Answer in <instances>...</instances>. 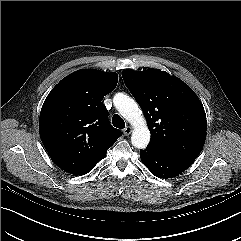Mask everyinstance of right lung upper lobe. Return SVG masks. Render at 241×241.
I'll use <instances>...</instances> for the list:
<instances>
[{"label": "right lung upper lobe", "instance_id": "obj_1", "mask_svg": "<svg viewBox=\"0 0 241 241\" xmlns=\"http://www.w3.org/2000/svg\"><path fill=\"white\" fill-rule=\"evenodd\" d=\"M117 82L116 73L82 69L62 79L47 96L40 114V137L62 170L76 174L98 163L121 136L110 125L102 103Z\"/></svg>", "mask_w": 241, "mask_h": 241}]
</instances>
